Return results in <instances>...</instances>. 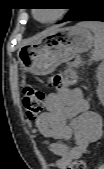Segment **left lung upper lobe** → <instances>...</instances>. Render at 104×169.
Listing matches in <instances>:
<instances>
[{
  "mask_svg": "<svg viewBox=\"0 0 104 169\" xmlns=\"http://www.w3.org/2000/svg\"><path fill=\"white\" fill-rule=\"evenodd\" d=\"M73 2H74L73 5H72L73 8H70V11L68 12L67 16L71 15L77 9V6H78L77 1H73Z\"/></svg>",
  "mask_w": 104,
  "mask_h": 169,
  "instance_id": "1",
  "label": "left lung upper lobe"
}]
</instances>
